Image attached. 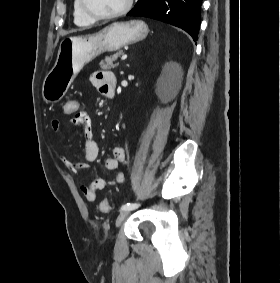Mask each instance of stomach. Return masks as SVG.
<instances>
[{
	"label": "stomach",
	"instance_id": "0dacf381",
	"mask_svg": "<svg viewBox=\"0 0 280 283\" xmlns=\"http://www.w3.org/2000/svg\"><path fill=\"white\" fill-rule=\"evenodd\" d=\"M149 28L141 20L115 22L87 35L69 36L59 46L56 62L46 75L42 97L47 103L63 98L82 68L105 52H115L125 45L145 39Z\"/></svg>",
	"mask_w": 280,
	"mask_h": 283
}]
</instances>
